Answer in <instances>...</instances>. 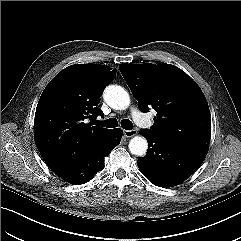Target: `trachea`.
<instances>
[{
	"label": "trachea",
	"instance_id": "obj_1",
	"mask_svg": "<svg viewBox=\"0 0 241 241\" xmlns=\"http://www.w3.org/2000/svg\"><path fill=\"white\" fill-rule=\"evenodd\" d=\"M101 125H103L104 127H107V128H114V127H117L118 122L115 118H110V119L106 120L103 124L101 123ZM121 126H122V128H124L126 130H131L132 122L129 119H124L121 121Z\"/></svg>",
	"mask_w": 241,
	"mask_h": 241
}]
</instances>
